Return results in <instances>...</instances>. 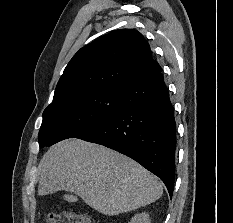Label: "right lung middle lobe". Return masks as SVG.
<instances>
[{
	"label": "right lung middle lobe",
	"mask_w": 233,
	"mask_h": 223,
	"mask_svg": "<svg viewBox=\"0 0 233 223\" xmlns=\"http://www.w3.org/2000/svg\"><path fill=\"white\" fill-rule=\"evenodd\" d=\"M121 89L94 88L53 99L43 112L40 147L76 137L113 117L122 107Z\"/></svg>",
	"instance_id": "1"
}]
</instances>
